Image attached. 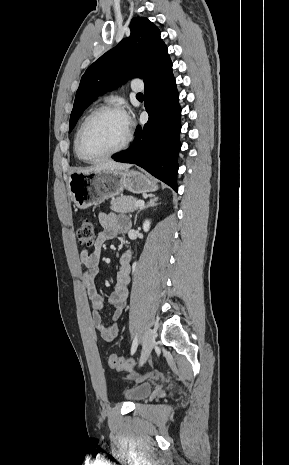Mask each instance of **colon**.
Segmentation results:
<instances>
[{"label":"colon","mask_w":289,"mask_h":465,"mask_svg":"<svg viewBox=\"0 0 289 465\" xmlns=\"http://www.w3.org/2000/svg\"><path fill=\"white\" fill-rule=\"evenodd\" d=\"M77 239L81 245L92 246L96 241L94 223L90 219H84L77 229ZM110 368L122 370L126 367V361L123 357L110 355L108 359Z\"/></svg>","instance_id":"5ec220e1"}]
</instances>
